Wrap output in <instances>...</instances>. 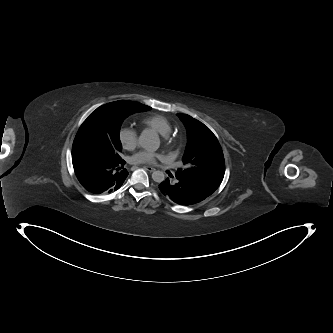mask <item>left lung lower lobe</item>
I'll return each instance as SVG.
<instances>
[{
	"label": "left lung lower lobe",
	"mask_w": 333,
	"mask_h": 333,
	"mask_svg": "<svg viewBox=\"0 0 333 333\" xmlns=\"http://www.w3.org/2000/svg\"><path fill=\"white\" fill-rule=\"evenodd\" d=\"M164 181L159 184L163 196L179 205H193L206 199L209 195L177 174L168 173Z\"/></svg>",
	"instance_id": "1"
}]
</instances>
